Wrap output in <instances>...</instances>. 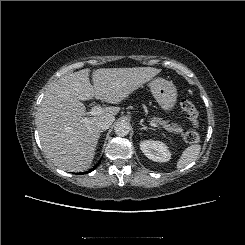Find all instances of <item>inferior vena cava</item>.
Segmentation results:
<instances>
[{"instance_id": "inferior-vena-cava-1", "label": "inferior vena cava", "mask_w": 245, "mask_h": 245, "mask_svg": "<svg viewBox=\"0 0 245 245\" xmlns=\"http://www.w3.org/2000/svg\"><path fill=\"white\" fill-rule=\"evenodd\" d=\"M114 120H115L114 116H103L98 121V128L100 130H106L112 125Z\"/></svg>"}]
</instances>
